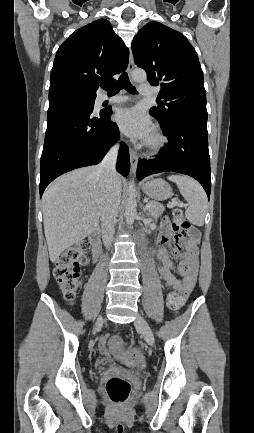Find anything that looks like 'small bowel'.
Wrapping results in <instances>:
<instances>
[{
    "mask_svg": "<svg viewBox=\"0 0 254 433\" xmlns=\"http://www.w3.org/2000/svg\"><path fill=\"white\" fill-rule=\"evenodd\" d=\"M198 240V233L196 236H190L184 232L175 233L167 221L163 222L158 236L159 249L157 256L162 263L159 268V274L165 281L166 286L176 290L183 303L192 292L196 283ZM170 251L180 259L178 274L181 276V279H178L172 272L174 265ZM99 349L103 354H107L105 340L100 341ZM129 351L138 352V349L130 347Z\"/></svg>",
    "mask_w": 254,
    "mask_h": 433,
    "instance_id": "small-bowel-1",
    "label": "small bowel"
}]
</instances>
